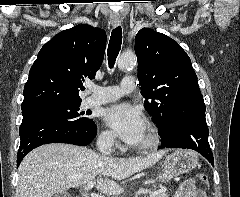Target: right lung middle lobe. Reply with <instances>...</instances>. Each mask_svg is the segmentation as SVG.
Instances as JSON below:
<instances>
[{"instance_id":"dd1d6c3e","label":"right lung middle lobe","mask_w":240,"mask_h":197,"mask_svg":"<svg viewBox=\"0 0 240 197\" xmlns=\"http://www.w3.org/2000/svg\"><path fill=\"white\" fill-rule=\"evenodd\" d=\"M79 102H50L29 109L22 110L25 112H44L55 115L63 120L68 121L70 124L74 125L76 128L86 130L94 122L83 116L84 112H79Z\"/></svg>"}]
</instances>
